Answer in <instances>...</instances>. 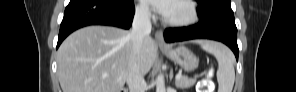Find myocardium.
<instances>
[{"label": "myocardium", "instance_id": "1", "mask_svg": "<svg viewBox=\"0 0 296 92\" xmlns=\"http://www.w3.org/2000/svg\"><path fill=\"white\" fill-rule=\"evenodd\" d=\"M179 3H182L185 5V7L188 10V14L185 18L183 19H177V20H172L168 18H164L165 24L172 26V27H186L193 25L196 23L199 19V11L196 6V4L193 1L190 0H181V1H176Z\"/></svg>", "mask_w": 296, "mask_h": 92}]
</instances>
